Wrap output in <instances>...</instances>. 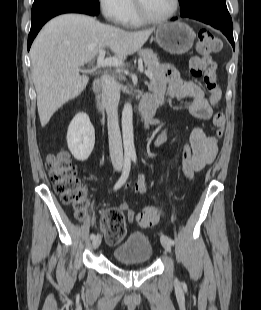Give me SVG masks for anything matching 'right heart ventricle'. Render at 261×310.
Returning <instances> with one entry per match:
<instances>
[{"label": "right heart ventricle", "mask_w": 261, "mask_h": 310, "mask_svg": "<svg viewBox=\"0 0 261 310\" xmlns=\"http://www.w3.org/2000/svg\"><path fill=\"white\" fill-rule=\"evenodd\" d=\"M130 4H131L130 10L122 24L126 27L136 28L141 26L143 23L137 17L133 0H130Z\"/></svg>", "instance_id": "right-heart-ventricle-1"}]
</instances>
